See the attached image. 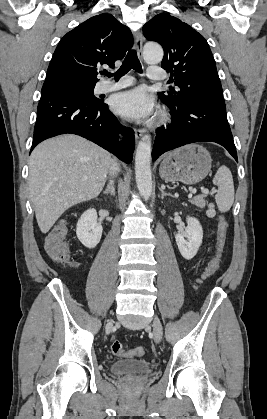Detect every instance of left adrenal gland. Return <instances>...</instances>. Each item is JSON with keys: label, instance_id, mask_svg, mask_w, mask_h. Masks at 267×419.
Returning <instances> with one entry per match:
<instances>
[{"label": "left adrenal gland", "instance_id": "a2214340", "mask_svg": "<svg viewBox=\"0 0 267 419\" xmlns=\"http://www.w3.org/2000/svg\"><path fill=\"white\" fill-rule=\"evenodd\" d=\"M160 191H161V198L162 199H164L165 196H172L171 194L166 193L163 188H160Z\"/></svg>", "mask_w": 267, "mask_h": 419}]
</instances>
